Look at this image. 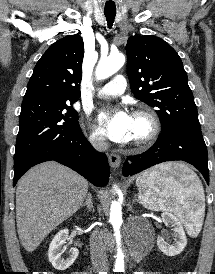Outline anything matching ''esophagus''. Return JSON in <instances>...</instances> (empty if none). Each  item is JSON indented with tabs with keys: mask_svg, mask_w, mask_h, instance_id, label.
I'll use <instances>...</instances> for the list:
<instances>
[{
	"mask_svg": "<svg viewBox=\"0 0 215 274\" xmlns=\"http://www.w3.org/2000/svg\"><path fill=\"white\" fill-rule=\"evenodd\" d=\"M108 159L112 168H118L121 164V157L116 153H111Z\"/></svg>",
	"mask_w": 215,
	"mask_h": 274,
	"instance_id": "1",
	"label": "esophagus"
}]
</instances>
